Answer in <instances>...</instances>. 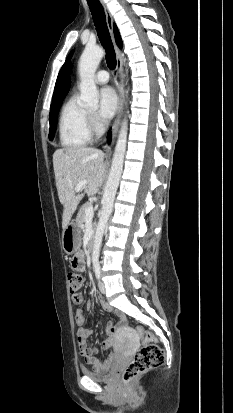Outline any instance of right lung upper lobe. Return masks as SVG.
<instances>
[{"mask_svg": "<svg viewBox=\"0 0 233 413\" xmlns=\"http://www.w3.org/2000/svg\"><path fill=\"white\" fill-rule=\"evenodd\" d=\"M114 33H115L116 43L121 48L123 44H122L121 37L119 35L118 29H117L115 24H114ZM70 83H71V80H70L69 72H67L65 74L64 78H63L62 83H61L60 92H59L58 96L56 97V95L55 96L53 95V98H52L53 104L52 105H56L59 102L63 101L65 95L68 93V91L70 89Z\"/></svg>", "mask_w": 233, "mask_h": 413, "instance_id": "obj_1", "label": "right lung upper lobe"}]
</instances>
